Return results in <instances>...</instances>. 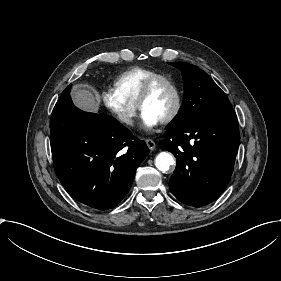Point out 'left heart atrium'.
Wrapping results in <instances>:
<instances>
[{"label": "left heart atrium", "instance_id": "left-heart-atrium-1", "mask_svg": "<svg viewBox=\"0 0 281 281\" xmlns=\"http://www.w3.org/2000/svg\"><path fill=\"white\" fill-rule=\"evenodd\" d=\"M141 119L143 121V124L146 128H154L158 125L159 121L152 117L150 114H148L145 111L141 112Z\"/></svg>", "mask_w": 281, "mask_h": 281}]
</instances>
